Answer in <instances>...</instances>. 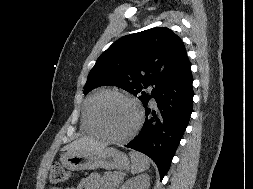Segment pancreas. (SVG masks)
<instances>
[{"mask_svg":"<svg viewBox=\"0 0 253 189\" xmlns=\"http://www.w3.org/2000/svg\"><path fill=\"white\" fill-rule=\"evenodd\" d=\"M122 173L118 171L114 172H105L104 174V180L105 182L110 186H118L121 180L123 179Z\"/></svg>","mask_w":253,"mask_h":189,"instance_id":"pancreas-1","label":"pancreas"}]
</instances>
